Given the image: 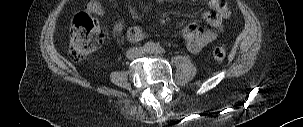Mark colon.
<instances>
[{
  "instance_id": "1",
  "label": "colon",
  "mask_w": 303,
  "mask_h": 127,
  "mask_svg": "<svg viewBox=\"0 0 303 127\" xmlns=\"http://www.w3.org/2000/svg\"><path fill=\"white\" fill-rule=\"evenodd\" d=\"M103 42V33L98 22L85 12L75 15L71 24L70 47L74 59H81L96 51ZM217 61L224 60L226 52L221 47L212 51Z\"/></svg>"
}]
</instances>
